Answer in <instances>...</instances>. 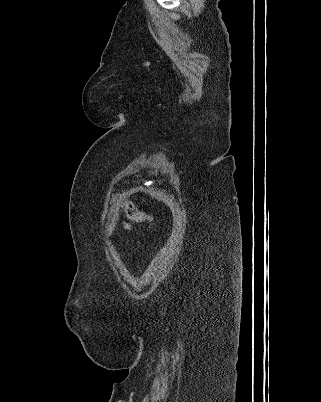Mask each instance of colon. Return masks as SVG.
<instances>
[{"label":"colon","mask_w":321,"mask_h":402,"mask_svg":"<svg viewBox=\"0 0 321 402\" xmlns=\"http://www.w3.org/2000/svg\"><path fill=\"white\" fill-rule=\"evenodd\" d=\"M122 209L127 215V217L136 223H152L154 222L153 215L148 212L136 207L133 203L129 201H124L122 204Z\"/></svg>","instance_id":"obj_1"}]
</instances>
